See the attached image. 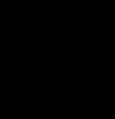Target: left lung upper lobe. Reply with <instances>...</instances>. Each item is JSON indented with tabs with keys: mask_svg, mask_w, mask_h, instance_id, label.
<instances>
[{
	"mask_svg": "<svg viewBox=\"0 0 115 119\" xmlns=\"http://www.w3.org/2000/svg\"><path fill=\"white\" fill-rule=\"evenodd\" d=\"M90 16L99 25V44L91 61L102 75L115 76V16L96 11H91Z\"/></svg>",
	"mask_w": 115,
	"mask_h": 119,
	"instance_id": "1",
	"label": "left lung upper lobe"
}]
</instances>
